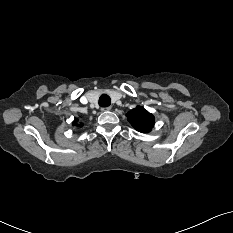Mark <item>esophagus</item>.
<instances>
[{
  "label": "esophagus",
  "mask_w": 233,
  "mask_h": 233,
  "mask_svg": "<svg viewBox=\"0 0 233 233\" xmlns=\"http://www.w3.org/2000/svg\"><path fill=\"white\" fill-rule=\"evenodd\" d=\"M101 110L104 111V112L110 111V110H111V107H105V108H102Z\"/></svg>",
  "instance_id": "esophagus-1"
}]
</instances>
